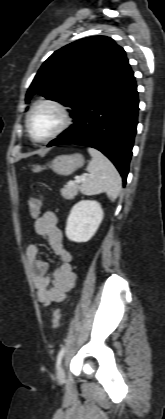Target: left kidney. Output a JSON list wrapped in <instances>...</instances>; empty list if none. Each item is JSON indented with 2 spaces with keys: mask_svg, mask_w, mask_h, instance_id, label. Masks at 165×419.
Segmentation results:
<instances>
[{
  "mask_svg": "<svg viewBox=\"0 0 165 419\" xmlns=\"http://www.w3.org/2000/svg\"><path fill=\"white\" fill-rule=\"evenodd\" d=\"M101 205L94 200H81L73 206L67 219L65 233L69 240L87 242L103 220Z\"/></svg>",
  "mask_w": 165,
  "mask_h": 419,
  "instance_id": "5707ae66",
  "label": "left kidney"
}]
</instances>
